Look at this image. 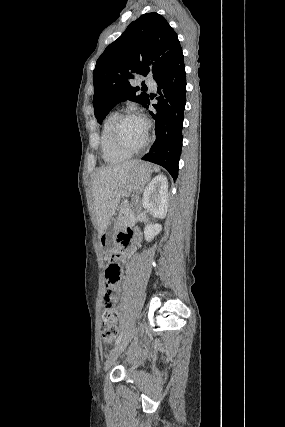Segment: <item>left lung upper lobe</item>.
<instances>
[{
    "instance_id": "5c2ea615",
    "label": "left lung upper lobe",
    "mask_w": 285,
    "mask_h": 427,
    "mask_svg": "<svg viewBox=\"0 0 285 427\" xmlns=\"http://www.w3.org/2000/svg\"><path fill=\"white\" fill-rule=\"evenodd\" d=\"M182 51L177 34L163 16L141 15L98 58L93 72V106L101 123L118 102L132 100L144 107L149 95L137 94L130 81L136 74L152 75L156 81Z\"/></svg>"
}]
</instances>
